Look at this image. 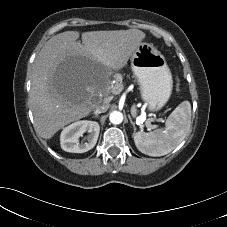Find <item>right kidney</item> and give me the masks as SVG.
Segmentation results:
<instances>
[{
	"mask_svg": "<svg viewBox=\"0 0 227 227\" xmlns=\"http://www.w3.org/2000/svg\"><path fill=\"white\" fill-rule=\"evenodd\" d=\"M88 135L85 142L79 143V138L85 133ZM100 132L99 123L96 121H77L65 127L61 132L60 143L64 151L84 153L92 149L98 140Z\"/></svg>",
	"mask_w": 227,
	"mask_h": 227,
	"instance_id": "1",
	"label": "right kidney"
}]
</instances>
